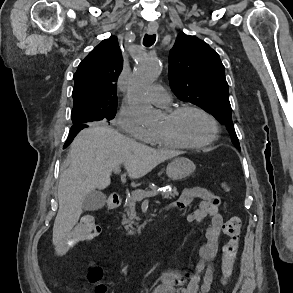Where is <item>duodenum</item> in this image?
Returning a JSON list of instances; mask_svg holds the SVG:
<instances>
[{
	"label": "duodenum",
	"instance_id": "1",
	"mask_svg": "<svg viewBox=\"0 0 293 293\" xmlns=\"http://www.w3.org/2000/svg\"><path fill=\"white\" fill-rule=\"evenodd\" d=\"M121 196L119 194H112L109 197L107 208L109 210L116 209L121 204Z\"/></svg>",
	"mask_w": 293,
	"mask_h": 293
}]
</instances>
